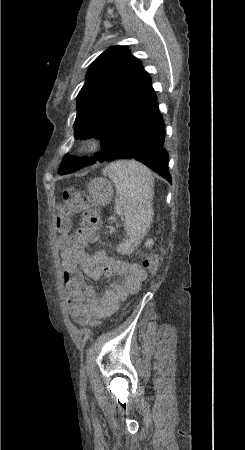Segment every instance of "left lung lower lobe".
<instances>
[{"label":"left lung lower lobe","instance_id":"0a47b994","mask_svg":"<svg viewBox=\"0 0 245 450\" xmlns=\"http://www.w3.org/2000/svg\"><path fill=\"white\" fill-rule=\"evenodd\" d=\"M164 142L165 126L156 99L126 144L119 151L103 155L104 159L100 162L122 158L136 159L171 183L168 170L169 156L164 148Z\"/></svg>","mask_w":245,"mask_h":450}]
</instances>
